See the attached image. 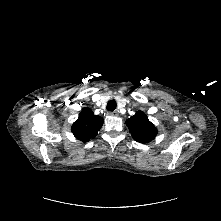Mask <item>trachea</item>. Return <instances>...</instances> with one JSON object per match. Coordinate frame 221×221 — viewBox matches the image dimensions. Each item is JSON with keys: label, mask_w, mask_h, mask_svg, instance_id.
<instances>
[{"label": "trachea", "mask_w": 221, "mask_h": 221, "mask_svg": "<svg viewBox=\"0 0 221 221\" xmlns=\"http://www.w3.org/2000/svg\"><path fill=\"white\" fill-rule=\"evenodd\" d=\"M116 101L115 100H110L108 103H107V110L108 111H114L116 109Z\"/></svg>", "instance_id": "1"}]
</instances>
